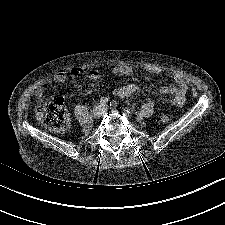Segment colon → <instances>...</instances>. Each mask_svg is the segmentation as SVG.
<instances>
[{
  "label": "colon",
  "mask_w": 225,
  "mask_h": 225,
  "mask_svg": "<svg viewBox=\"0 0 225 225\" xmlns=\"http://www.w3.org/2000/svg\"><path fill=\"white\" fill-rule=\"evenodd\" d=\"M38 115L42 124L47 129L64 132L69 127V114L61 99H57L54 102L47 104L39 111ZM168 121L169 116L163 114L160 118V122L165 124Z\"/></svg>",
  "instance_id": "colon-1"
}]
</instances>
